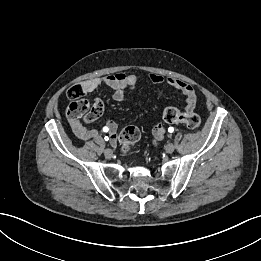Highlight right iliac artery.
Wrapping results in <instances>:
<instances>
[{
    "mask_svg": "<svg viewBox=\"0 0 261 261\" xmlns=\"http://www.w3.org/2000/svg\"><path fill=\"white\" fill-rule=\"evenodd\" d=\"M103 131H104V132H107V131H108V128H107V127H104V128H103ZM104 140H105V141H108V140H109V137H108V136H105V137H104Z\"/></svg>",
    "mask_w": 261,
    "mask_h": 261,
    "instance_id": "obj_1",
    "label": "right iliac artery"
}]
</instances>
